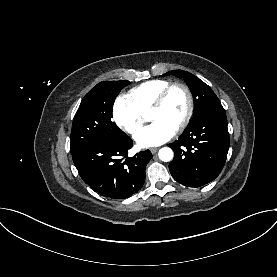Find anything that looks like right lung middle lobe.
<instances>
[{
    "instance_id": "dd1d6c3e",
    "label": "right lung middle lobe",
    "mask_w": 277,
    "mask_h": 277,
    "mask_svg": "<svg viewBox=\"0 0 277 277\" xmlns=\"http://www.w3.org/2000/svg\"><path fill=\"white\" fill-rule=\"evenodd\" d=\"M128 84L129 81H103L84 96L73 119L71 153L97 140L127 137L111 118L115 98Z\"/></svg>"
}]
</instances>
